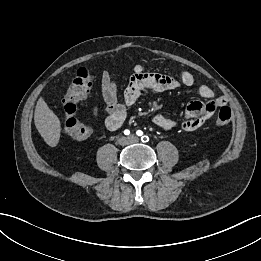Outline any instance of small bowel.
<instances>
[{"instance_id":"c3829d8e","label":"small bowel","mask_w":261,"mask_h":261,"mask_svg":"<svg viewBox=\"0 0 261 261\" xmlns=\"http://www.w3.org/2000/svg\"><path fill=\"white\" fill-rule=\"evenodd\" d=\"M184 86H195L194 76L186 70L177 69V77L160 73L146 72L145 66L137 64L134 74L130 78L123 93V101H119L117 85L109 72H104L101 78L102 95L105 101V124L110 130L119 129L126 118V108L132 106L142 93L147 91L163 92ZM87 92H81L78 100L83 99ZM198 93L204 101H191L186 108L185 119L178 122L175 119L157 114L153 117L156 126L163 130H172L180 127L182 130L191 132L202 127L214 114L217 108L225 106L226 99L223 95L215 96L214 91L205 84L198 87ZM94 117L99 116V108H93Z\"/></svg>"}]
</instances>
